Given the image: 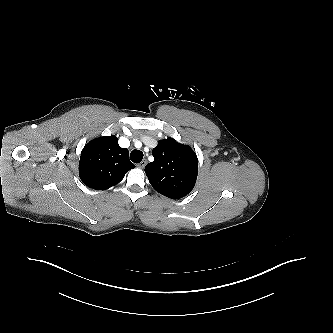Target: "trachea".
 I'll use <instances>...</instances> for the list:
<instances>
[{
	"instance_id": "trachea-1",
	"label": "trachea",
	"mask_w": 333,
	"mask_h": 333,
	"mask_svg": "<svg viewBox=\"0 0 333 333\" xmlns=\"http://www.w3.org/2000/svg\"><path fill=\"white\" fill-rule=\"evenodd\" d=\"M130 159L134 163H140L143 159V152L140 150H133L130 154Z\"/></svg>"
}]
</instances>
